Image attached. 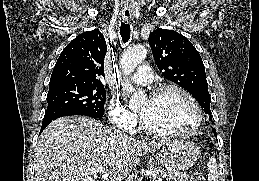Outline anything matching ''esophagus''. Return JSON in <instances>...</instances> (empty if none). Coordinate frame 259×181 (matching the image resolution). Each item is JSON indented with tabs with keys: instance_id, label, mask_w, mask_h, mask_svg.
Returning <instances> with one entry per match:
<instances>
[{
	"instance_id": "34e87169",
	"label": "esophagus",
	"mask_w": 259,
	"mask_h": 181,
	"mask_svg": "<svg viewBox=\"0 0 259 181\" xmlns=\"http://www.w3.org/2000/svg\"><path fill=\"white\" fill-rule=\"evenodd\" d=\"M128 15H129V14H126V18H128Z\"/></svg>"
}]
</instances>
